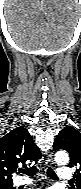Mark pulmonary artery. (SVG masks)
I'll return each mask as SVG.
<instances>
[{"label": "pulmonary artery", "mask_w": 81, "mask_h": 189, "mask_svg": "<svg viewBox=\"0 0 81 189\" xmlns=\"http://www.w3.org/2000/svg\"><path fill=\"white\" fill-rule=\"evenodd\" d=\"M57 174H58V178L61 181H69L73 177L72 170L68 167L58 168ZM32 182H33L32 179L20 177L16 180L15 185L16 186L27 185V184H31Z\"/></svg>", "instance_id": "e3ab8cb5"}]
</instances>
